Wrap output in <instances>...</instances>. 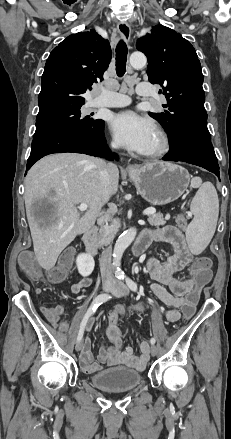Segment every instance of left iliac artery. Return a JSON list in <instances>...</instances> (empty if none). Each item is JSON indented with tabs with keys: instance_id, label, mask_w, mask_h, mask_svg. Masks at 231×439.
<instances>
[{
	"instance_id": "1",
	"label": "left iliac artery",
	"mask_w": 231,
	"mask_h": 439,
	"mask_svg": "<svg viewBox=\"0 0 231 439\" xmlns=\"http://www.w3.org/2000/svg\"><path fill=\"white\" fill-rule=\"evenodd\" d=\"M125 281H126L127 286H128L132 291H137V284H136L132 279H130L129 277H125ZM155 342H156L155 338H151V339H150V343H151L152 345H154Z\"/></svg>"
}]
</instances>
